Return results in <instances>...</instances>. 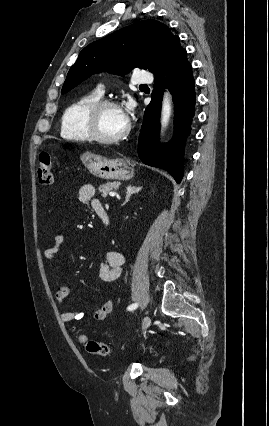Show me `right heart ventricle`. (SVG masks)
<instances>
[{"mask_svg": "<svg viewBox=\"0 0 269 426\" xmlns=\"http://www.w3.org/2000/svg\"><path fill=\"white\" fill-rule=\"evenodd\" d=\"M99 99L100 95L98 93H87L65 109L61 119L62 137L73 141L90 140L86 129L85 116L87 110Z\"/></svg>", "mask_w": 269, "mask_h": 426, "instance_id": "e07e8e85", "label": "right heart ventricle"}]
</instances>
